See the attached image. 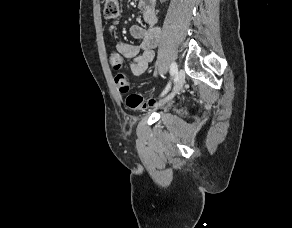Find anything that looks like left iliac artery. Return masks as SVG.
<instances>
[{
	"label": "left iliac artery",
	"instance_id": "obj_1",
	"mask_svg": "<svg viewBox=\"0 0 292 228\" xmlns=\"http://www.w3.org/2000/svg\"><path fill=\"white\" fill-rule=\"evenodd\" d=\"M178 68H177V64L176 62H172L171 66H170V74L173 77L175 74H177ZM170 82L168 83V85L166 86V88L164 89V91L162 92L161 96L165 95L169 89H170Z\"/></svg>",
	"mask_w": 292,
	"mask_h": 228
}]
</instances>
